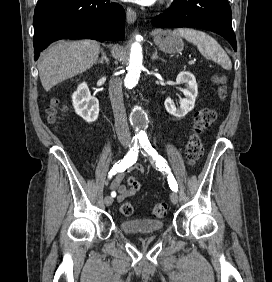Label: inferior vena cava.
<instances>
[{"instance_id":"1","label":"inferior vena cava","mask_w":272,"mask_h":282,"mask_svg":"<svg viewBox=\"0 0 272 282\" xmlns=\"http://www.w3.org/2000/svg\"><path fill=\"white\" fill-rule=\"evenodd\" d=\"M109 97L114 113L115 129L120 141L130 140V132L125 113L122 83L120 79H112L109 83Z\"/></svg>"}]
</instances>
